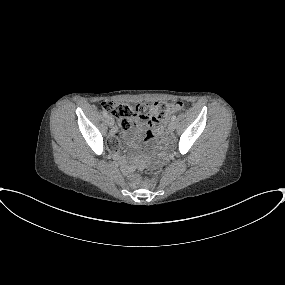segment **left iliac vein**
I'll use <instances>...</instances> for the list:
<instances>
[{
    "instance_id": "obj_1",
    "label": "left iliac vein",
    "mask_w": 285,
    "mask_h": 285,
    "mask_svg": "<svg viewBox=\"0 0 285 285\" xmlns=\"http://www.w3.org/2000/svg\"><path fill=\"white\" fill-rule=\"evenodd\" d=\"M174 129H175V124H174L173 121H171V122L169 123V125H168V130H169L170 132H172V131H174Z\"/></svg>"
}]
</instances>
